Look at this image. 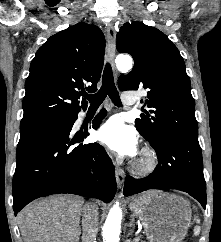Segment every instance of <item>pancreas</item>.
<instances>
[{
  "label": "pancreas",
  "instance_id": "pancreas-1",
  "mask_svg": "<svg viewBox=\"0 0 221 242\" xmlns=\"http://www.w3.org/2000/svg\"><path fill=\"white\" fill-rule=\"evenodd\" d=\"M139 240H140V238H137V239H135L134 242H138ZM141 242H145V241H141Z\"/></svg>",
  "mask_w": 221,
  "mask_h": 242
}]
</instances>
